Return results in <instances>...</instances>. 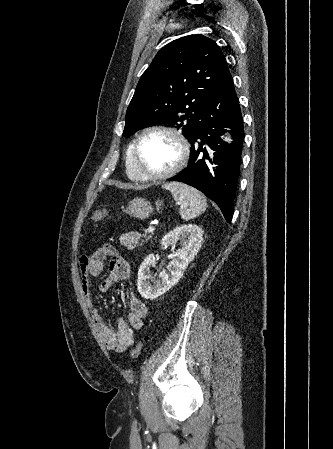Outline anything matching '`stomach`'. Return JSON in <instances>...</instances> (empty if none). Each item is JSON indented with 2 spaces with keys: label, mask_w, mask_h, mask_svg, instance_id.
<instances>
[{
  "label": "stomach",
  "mask_w": 333,
  "mask_h": 449,
  "mask_svg": "<svg viewBox=\"0 0 333 449\" xmlns=\"http://www.w3.org/2000/svg\"><path fill=\"white\" fill-rule=\"evenodd\" d=\"M162 202L156 201V208H160ZM154 208L151 203L144 198H136L129 202L126 212L135 218L146 219L152 214Z\"/></svg>",
  "instance_id": "1"
}]
</instances>
